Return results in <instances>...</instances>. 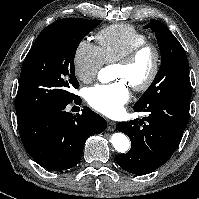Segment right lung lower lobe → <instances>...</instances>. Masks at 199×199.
Segmentation results:
<instances>
[{"mask_svg": "<svg viewBox=\"0 0 199 199\" xmlns=\"http://www.w3.org/2000/svg\"><path fill=\"white\" fill-rule=\"evenodd\" d=\"M66 106L46 110L18 125L25 150L52 171L74 167L87 138L102 133L107 126L106 120L88 107L82 114L72 115L64 110Z\"/></svg>", "mask_w": 199, "mask_h": 199, "instance_id": "right-lung-lower-lobe-1", "label": "right lung lower lobe"}]
</instances>
